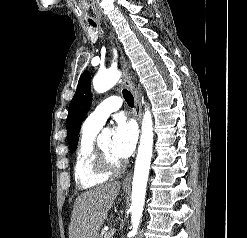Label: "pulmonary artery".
Here are the masks:
<instances>
[{
	"instance_id": "pulmonary-artery-1",
	"label": "pulmonary artery",
	"mask_w": 247,
	"mask_h": 238,
	"mask_svg": "<svg viewBox=\"0 0 247 238\" xmlns=\"http://www.w3.org/2000/svg\"><path fill=\"white\" fill-rule=\"evenodd\" d=\"M122 106V100L118 96H111L102 101L85 119L84 124L88 128L100 129L109 115L118 111Z\"/></svg>"
}]
</instances>
